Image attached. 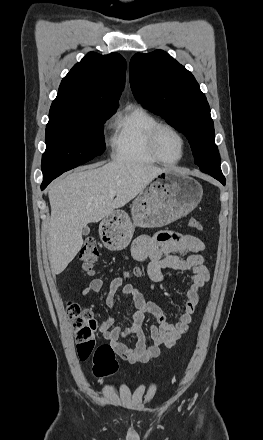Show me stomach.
<instances>
[{"mask_svg":"<svg viewBox=\"0 0 263 440\" xmlns=\"http://www.w3.org/2000/svg\"><path fill=\"white\" fill-rule=\"evenodd\" d=\"M203 196L202 186L188 175L168 170L158 175L133 201L131 218L116 210L104 218L99 233L112 251L125 249L136 226L162 227L189 214Z\"/></svg>","mask_w":263,"mask_h":440,"instance_id":"stomach-1","label":"stomach"}]
</instances>
